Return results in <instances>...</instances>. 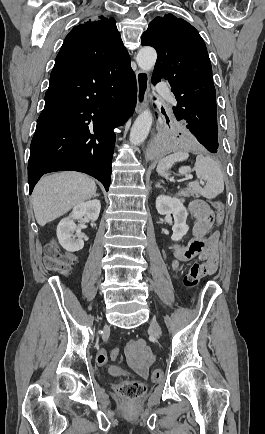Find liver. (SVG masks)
Listing matches in <instances>:
<instances>
[{
	"mask_svg": "<svg viewBox=\"0 0 265 434\" xmlns=\"http://www.w3.org/2000/svg\"><path fill=\"white\" fill-rule=\"evenodd\" d=\"M95 180L78 172L44 176L32 194L34 216L39 226L67 214L71 208L96 194Z\"/></svg>",
	"mask_w": 265,
	"mask_h": 434,
	"instance_id": "liver-1",
	"label": "liver"
}]
</instances>
